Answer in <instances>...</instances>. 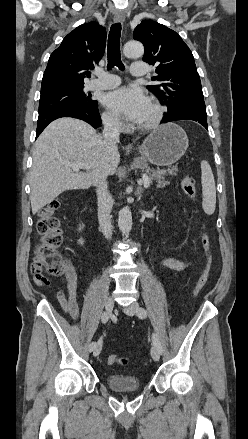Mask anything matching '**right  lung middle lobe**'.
Listing matches in <instances>:
<instances>
[{
	"instance_id": "right-lung-middle-lobe-1",
	"label": "right lung middle lobe",
	"mask_w": 248,
	"mask_h": 439,
	"mask_svg": "<svg viewBox=\"0 0 248 439\" xmlns=\"http://www.w3.org/2000/svg\"><path fill=\"white\" fill-rule=\"evenodd\" d=\"M83 88L84 86L41 95L39 114L63 106H96L97 101L92 100L91 94H86Z\"/></svg>"
}]
</instances>
